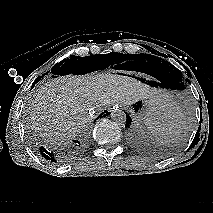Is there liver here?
I'll return each instance as SVG.
<instances>
[{
	"label": "liver",
	"mask_w": 213,
	"mask_h": 213,
	"mask_svg": "<svg viewBox=\"0 0 213 213\" xmlns=\"http://www.w3.org/2000/svg\"><path fill=\"white\" fill-rule=\"evenodd\" d=\"M168 95L137 81L115 74L61 76L42 85L30 107L32 128L52 143H62L77 135L93 116L114 104L131 105L148 100L158 108L169 105Z\"/></svg>",
	"instance_id": "obj_1"
}]
</instances>
